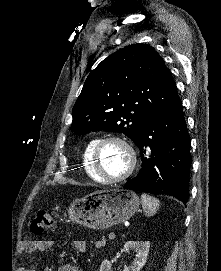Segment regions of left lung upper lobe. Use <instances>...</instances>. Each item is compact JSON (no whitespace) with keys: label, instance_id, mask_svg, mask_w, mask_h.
Listing matches in <instances>:
<instances>
[{"label":"left lung upper lobe","instance_id":"5c2ea615","mask_svg":"<svg viewBox=\"0 0 221 271\" xmlns=\"http://www.w3.org/2000/svg\"><path fill=\"white\" fill-rule=\"evenodd\" d=\"M176 95L171 72L153 47L126 46L88 75L73 107L71 131L121 132L135 142L145 122Z\"/></svg>","mask_w":221,"mask_h":271}]
</instances>
